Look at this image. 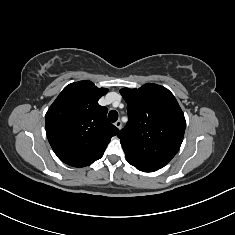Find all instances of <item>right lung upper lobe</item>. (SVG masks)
Masks as SVG:
<instances>
[{"mask_svg":"<svg viewBox=\"0 0 235 235\" xmlns=\"http://www.w3.org/2000/svg\"><path fill=\"white\" fill-rule=\"evenodd\" d=\"M84 80L67 85L48 109V141L64 163L85 167L103 156L118 128L107 120V108L98 100L107 93Z\"/></svg>","mask_w":235,"mask_h":235,"instance_id":"1","label":"right lung upper lobe"}]
</instances>
